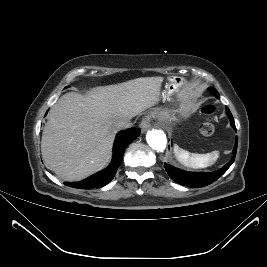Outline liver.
Returning <instances> with one entry per match:
<instances>
[{
	"instance_id": "6515ba94",
	"label": "liver",
	"mask_w": 267,
	"mask_h": 267,
	"mask_svg": "<svg viewBox=\"0 0 267 267\" xmlns=\"http://www.w3.org/2000/svg\"><path fill=\"white\" fill-rule=\"evenodd\" d=\"M163 77L137 78L99 86L87 95L69 92L52 106L41 152L48 169L65 181H78L101 169L115 138L114 123L154 106Z\"/></svg>"
}]
</instances>
